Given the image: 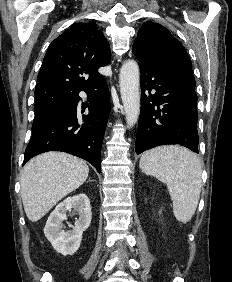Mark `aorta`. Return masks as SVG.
<instances>
[{"instance_id": "obj_1", "label": "aorta", "mask_w": 232, "mask_h": 282, "mask_svg": "<svg viewBox=\"0 0 232 282\" xmlns=\"http://www.w3.org/2000/svg\"><path fill=\"white\" fill-rule=\"evenodd\" d=\"M120 93L129 127L135 125L140 113L139 66L136 61H126L119 75Z\"/></svg>"}]
</instances>
